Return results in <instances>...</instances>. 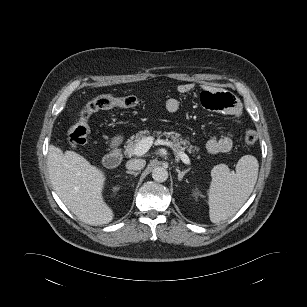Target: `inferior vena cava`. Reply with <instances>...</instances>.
<instances>
[{
    "mask_svg": "<svg viewBox=\"0 0 307 307\" xmlns=\"http://www.w3.org/2000/svg\"><path fill=\"white\" fill-rule=\"evenodd\" d=\"M145 165L146 161L143 159H131L126 163V168L129 170H141Z\"/></svg>",
    "mask_w": 307,
    "mask_h": 307,
    "instance_id": "1",
    "label": "inferior vena cava"
}]
</instances>
